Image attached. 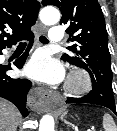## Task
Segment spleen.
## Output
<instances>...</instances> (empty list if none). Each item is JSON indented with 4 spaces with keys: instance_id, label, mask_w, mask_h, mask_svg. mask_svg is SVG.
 <instances>
[{
    "instance_id": "obj_1",
    "label": "spleen",
    "mask_w": 117,
    "mask_h": 131,
    "mask_svg": "<svg viewBox=\"0 0 117 131\" xmlns=\"http://www.w3.org/2000/svg\"><path fill=\"white\" fill-rule=\"evenodd\" d=\"M66 112L64 113V115ZM103 128L105 131H117L116 124L112 118V116L108 113L103 116Z\"/></svg>"
}]
</instances>
